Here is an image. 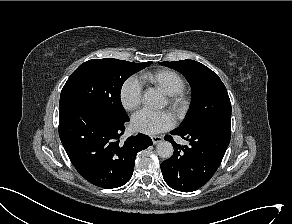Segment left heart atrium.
Returning a JSON list of instances; mask_svg holds the SVG:
<instances>
[{
    "instance_id": "left-heart-atrium-1",
    "label": "left heart atrium",
    "mask_w": 292,
    "mask_h": 224,
    "mask_svg": "<svg viewBox=\"0 0 292 224\" xmlns=\"http://www.w3.org/2000/svg\"><path fill=\"white\" fill-rule=\"evenodd\" d=\"M174 118L169 112H152L141 110L132 117V127L135 131L154 135L171 129Z\"/></svg>"
}]
</instances>
